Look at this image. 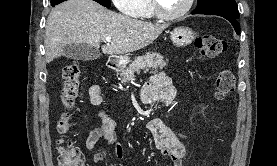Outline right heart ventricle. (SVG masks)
I'll return each mask as SVG.
<instances>
[{
    "label": "right heart ventricle",
    "mask_w": 277,
    "mask_h": 166,
    "mask_svg": "<svg viewBox=\"0 0 277 166\" xmlns=\"http://www.w3.org/2000/svg\"><path fill=\"white\" fill-rule=\"evenodd\" d=\"M135 17L143 20H151L155 17V14L150 4V0L143 1V4L138 13L135 15Z\"/></svg>",
    "instance_id": "1"
}]
</instances>
